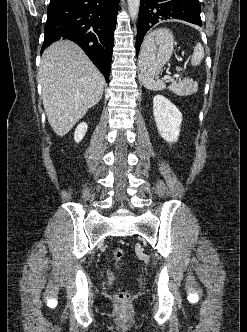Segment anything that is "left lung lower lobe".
Here are the masks:
<instances>
[{
	"label": "left lung lower lobe",
	"mask_w": 247,
	"mask_h": 332,
	"mask_svg": "<svg viewBox=\"0 0 247 332\" xmlns=\"http://www.w3.org/2000/svg\"><path fill=\"white\" fill-rule=\"evenodd\" d=\"M164 19H181L202 26L198 0H140L136 54L146 32Z\"/></svg>",
	"instance_id": "0a47b994"
}]
</instances>
